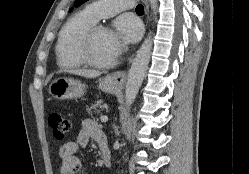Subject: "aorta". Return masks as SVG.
Masks as SVG:
<instances>
[{"label":"aorta","mask_w":249,"mask_h":174,"mask_svg":"<svg viewBox=\"0 0 249 174\" xmlns=\"http://www.w3.org/2000/svg\"><path fill=\"white\" fill-rule=\"evenodd\" d=\"M153 14H157V0H149ZM152 50V37L149 34L138 49L133 60L131 68L128 72L127 82L125 86V100L129 108L134 102L138 91L142 85L148 65L150 62Z\"/></svg>","instance_id":"obj_1"}]
</instances>
